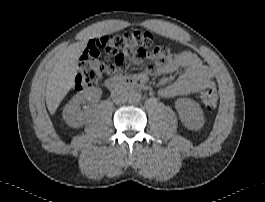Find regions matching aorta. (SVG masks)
<instances>
[{
  "instance_id": "obj_1",
  "label": "aorta",
  "mask_w": 265,
  "mask_h": 202,
  "mask_svg": "<svg viewBox=\"0 0 265 202\" xmlns=\"http://www.w3.org/2000/svg\"><path fill=\"white\" fill-rule=\"evenodd\" d=\"M141 93L140 91L138 90H131L129 93H128V100L129 102L131 103H137L141 100Z\"/></svg>"
}]
</instances>
